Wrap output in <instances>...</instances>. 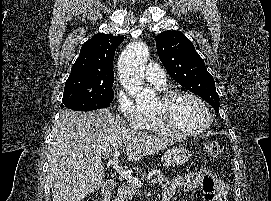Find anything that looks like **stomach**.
Instances as JSON below:
<instances>
[{
  "label": "stomach",
  "mask_w": 271,
  "mask_h": 201,
  "mask_svg": "<svg viewBox=\"0 0 271 201\" xmlns=\"http://www.w3.org/2000/svg\"><path fill=\"white\" fill-rule=\"evenodd\" d=\"M164 162L168 167L180 166L192 158V153L184 146H174L164 153Z\"/></svg>",
  "instance_id": "stomach-1"
}]
</instances>
